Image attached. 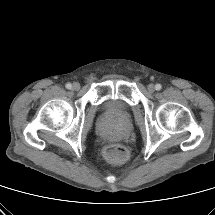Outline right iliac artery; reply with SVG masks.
I'll list each match as a JSON object with an SVG mask.
<instances>
[{"label": "right iliac artery", "instance_id": "right-iliac-artery-1", "mask_svg": "<svg viewBox=\"0 0 215 215\" xmlns=\"http://www.w3.org/2000/svg\"><path fill=\"white\" fill-rule=\"evenodd\" d=\"M66 88H67V89H71V88H72V85H71L70 83H67V84H66Z\"/></svg>", "mask_w": 215, "mask_h": 215}]
</instances>
